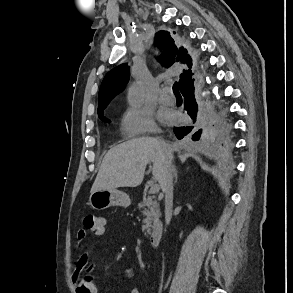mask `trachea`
Listing matches in <instances>:
<instances>
[{
	"label": "trachea",
	"instance_id": "trachea-1",
	"mask_svg": "<svg viewBox=\"0 0 293 293\" xmlns=\"http://www.w3.org/2000/svg\"><path fill=\"white\" fill-rule=\"evenodd\" d=\"M173 92L175 95H180L177 82L173 85Z\"/></svg>",
	"mask_w": 293,
	"mask_h": 293
}]
</instances>
